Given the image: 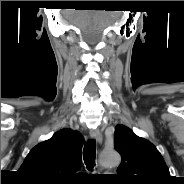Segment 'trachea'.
<instances>
[{"mask_svg": "<svg viewBox=\"0 0 184 184\" xmlns=\"http://www.w3.org/2000/svg\"><path fill=\"white\" fill-rule=\"evenodd\" d=\"M96 145L95 141L91 140L86 143L83 150V158L85 165L88 170H92L95 165V157H96Z\"/></svg>", "mask_w": 184, "mask_h": 184, "instance_id": "1", "label": "trachea"}]
</instances>
